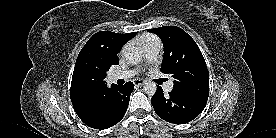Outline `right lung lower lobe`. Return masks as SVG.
<instances>
[{
  "label": "right lung lower lobe",
  "mask_w": 276,
  "mask_h": 138,
  "mask_svg": "<svg viewBox=\"0 0 276 138\" xmlns=\"http://www.w3.org/2000/svg\"><path fill=\"white\" fill-rule=\"evenodd\" d=\"M133 89L132 82L106 88L102 98L96 103L95 118L82 121L94 129H106L117 124L126 113Z\"/></svg>",
  "instance_id": "1"
}]
</instances>
